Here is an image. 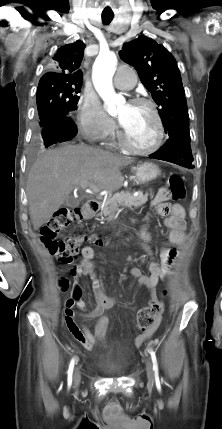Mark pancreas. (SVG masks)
<instances>
[{
    "label": "pancreas",
    "instance_id": "1",
    "mask_svg": "<svg viewBox=\"0 0 222 429\" xmlns=\"http://www.w3.org/2000/svg\"><path fill=\"white\" fill-rule=\"evenodd\" d=\"M148 201V194L143 195L139 192L137 196H134L130 192H122L113 197H108L101 208V212L104 216L112 217L113 214L118 210L120 205L128 208H138Z\"/></svg>",
    "mask_w": 222,
    "mask_h": 429
}]
</instances>
